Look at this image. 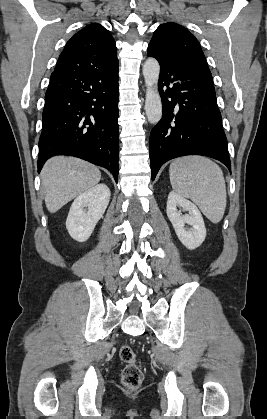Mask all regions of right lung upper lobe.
<instances>
[{"label":"right lung upper lobe","mask_w":267,"mask_h":419,"mask_svg":"<svg viewBox=\"0 0 267 419\" xmlns=\"http://www.w3.org/2000/svg\"><path fill=\"white\" fill-rule=\"evenodd\" d=\"M118 62L113 37L97 23L77 32L60 54L55 71L95 70Z\"/></svg>","instance_id":"obj_1"}]
</instances>
